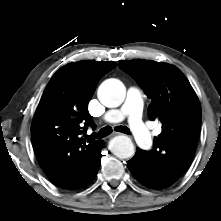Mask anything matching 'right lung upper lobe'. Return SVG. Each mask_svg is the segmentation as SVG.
<instances>
[{"label": "right lung upper lobe", "mask_w": 221, "mask_h": 221, "mask_svg": "<svg viewBox=\"0 0 221 221\" xmlns=\"http://www.w3.org/2000/svg\"><path fill=\"white\" fill-rule=\"evenodd\" d=\"M115 62L80 61L61 67L49 81L31 126L36 157L46 175L65 189L88 176L103 141L81 134L94 128L87 105Z\"/></svg>", "instance_id": "obj_1"}]
</instances>
